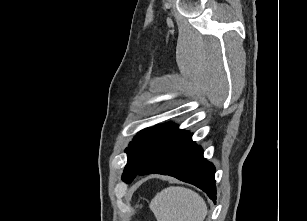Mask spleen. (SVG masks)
I'll list each match as a JSON object with an SVG mask.
<instances>
[{
	"instance_id": "1",
	"label": "spleen",
	"mask_w": 307,
	"mask_h": 221,
	"mask_svg": "<svg viewBox=\"0 0 307 221\" xmlns=\"http://www.w3.org/2000/svg\"><path fill=\"white\" fill-rule=\"evenodd\" d=\"M149 208L157 221H203L207 214L204 199L184 187H168L157 193Z\"/></svg>"
}]
</instances>
